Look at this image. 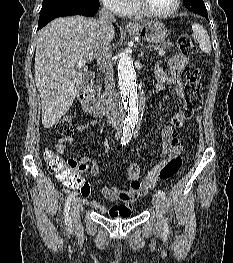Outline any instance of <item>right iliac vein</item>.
Wrapping results in <instances>:
<instances>
[{"label":"right iliac vein","mask_w":233,"mask_h":263,"mask_svg":"<svg viewBox=\"0 0 233 263\" xmlns=\"http://www.w3.org/2000/svg\"><path fill=\"white\" fill-rule=\"evenodd\" d=\"M81 201L79 198H75L71 205V221L72 223L77 226L80 223V208H81Z\"/></svg>","instance_id":"1"}]
</instances>
